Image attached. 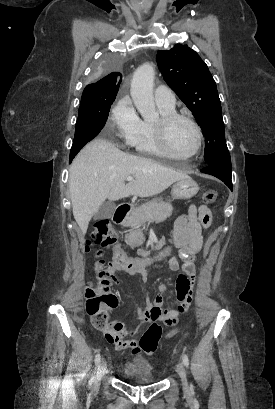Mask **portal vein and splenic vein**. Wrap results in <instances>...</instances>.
<instances>
[{
	"label": "portal vein and splenic vein",
	"instance_id": "portal-vein-and-splenic-vein-1",
	"mask_svg": "<svg viewBox=\"0 0 275 409\" xmlns=\"http://www.w3.org/2000/svg\"><path fill=\"white\" fill-rule=\"evenodd\" d=\"M126 180H133V176H127Z\"/></svg>",
	"mask_w": 275,
	"mask_h": 409
}]
</instances>
